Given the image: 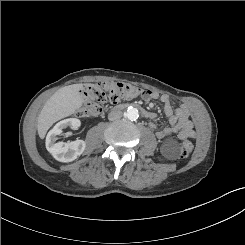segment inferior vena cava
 <instances>
[{
  "instance_id": "602c4592",
  "label": "inferior vena cava",
  "mask_w": 245,
  "mask_h": 245,
  "mask_svg": "<svg viewBox=\"0 0 245 245\" xmlns=\"http://www.w3.org/2000/svg\"><path fill=\"white\" fill-rule=\"evenodd\" d=\"M122 117V111L119 109H114L108 114V119L110 121L118 120Z\"/></svg>"
}]
</instances>
